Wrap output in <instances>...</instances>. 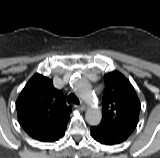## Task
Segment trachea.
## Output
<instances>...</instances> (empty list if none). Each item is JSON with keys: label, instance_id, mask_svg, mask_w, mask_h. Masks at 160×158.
<instances>
[{"label": "trachea", "instance_id": "1", "mask_svg": "<svg viewBox=\"0 0 160 158\" xmlns=\"http://www.w3.org/2000/svg\"><path fill=\"white\" fill-rule=\"evenodd\" d=\"M68 103H75V104H79V99L77 98V96H75L74 94H69L68 98H67Z\"/></svg>", "mask_w": 160, "mask_h": 158}]
</instances>
